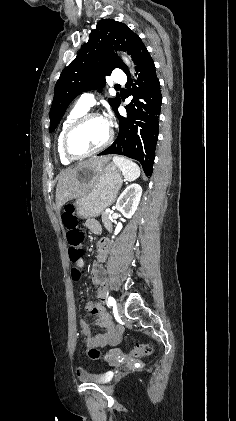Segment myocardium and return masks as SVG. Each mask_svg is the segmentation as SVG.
<instances>
[{"label":"myocardium","instance_id":"f54148a6","mask_svg":"<svg viewBox=\"0 0 236 421\" xmlns=\"http://www.w3.org/2000/svg\"><path fill=\"white\" fill-rule=\"evenodd\" d=\"M92 118L104 119V117L101 114L96 113V112L83 113L82 115L78 116L75 120H73L70 123V125L67 127V129L65 130V133H64L63 139H62V149H63L64 154L70 160H79V159L89 157L93 154H96V153L104 150L112 142L114 132H113V129L111 128V126H109V132H108V136H107L106 140L101 145L96 147L95 149H93L89 152L83 153V154H78V153H76L72 150L71 145H70V139H71L72 133L74 132V130L80 124H82L84 121H86L88 119H92Z\"/></svg>","mask_w":236,"mask_h":421}]
</instances>
